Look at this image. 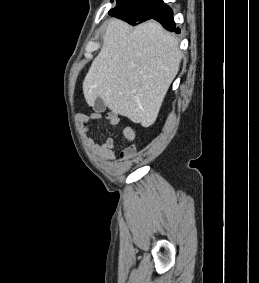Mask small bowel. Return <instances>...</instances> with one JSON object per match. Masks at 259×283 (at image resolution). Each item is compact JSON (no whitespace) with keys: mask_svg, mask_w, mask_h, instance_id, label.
<instances>
[{"mask_svg":"<svg viewBox=\"0 0 259 283\" xmlns=\"http://www.w3.org/2000/svg\"><path fill=\"white\" fill-rule=\"evenodd\" d=\"M102 118L101 113L93 112L90 115H83L80 117L81 121L86 123L87 127H91L92 123L98 121ZM105 119L112 125V126H122L123 127V135L128 141H133L136 137L135 130L127 125L121 117H119L116 113L109 112L105 115ZM94 148L98 150L105 158V160L111 162L115 160V153H114V146L115 141L112 138L106 139L101 144H93ZM124 156V153H123ZM125 157V156H124ZM123 168V167H120Z\"/></svg>","mask_w":259,"mask_h":283,"instance_id":"small-bowel-1","label":"small bowel"}]
</instances>
